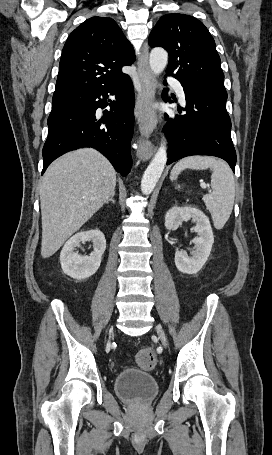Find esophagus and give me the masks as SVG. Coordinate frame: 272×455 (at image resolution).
<instances>
[{"mask_svg": "<svg viewBox=\"0 0 272 455\" xmlns=\"http://www.w3.org/2000/svg\"><path fill=\"white\" fill-rule=\"evenodd\" d=\"M138 79L141 91L137 98L135 114L142 135L138 154L143 160H148L155 151V147L149 140V136L156 128L157 115L153 109L155 89L153 85V74L148 63L147 43L143 44L141 55L138 60Z\"/></svg>", "mask_w": 272, "mask_h": 455, "instance_id": "esophagus-1", "label": "esophagus"}]
</instances>
